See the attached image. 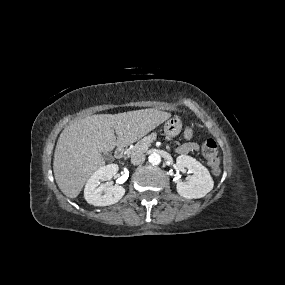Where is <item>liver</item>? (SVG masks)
I'll return each mask as SVG.
<instances>
[{
	"label": "liver",
	"instance_id": "liver-1",
	"mask_svg": "<svg viewBox=\"0 0 285 285\" xmlns=\"http://www.w3.org/2000/svg\"><path fill=\"white\" fill-rule=\"evenodd\" d=\"M170 116L150 108L74 121L62 131L55 148L53 171L58 187L67 197L76 198L88 178L105 164L102 152L134 143Z\"/></svg>",
	"mask_w": 285,
	"mask_h": 285
}]
</instances>
